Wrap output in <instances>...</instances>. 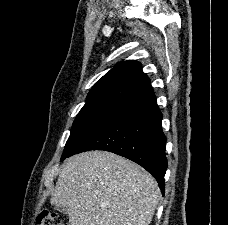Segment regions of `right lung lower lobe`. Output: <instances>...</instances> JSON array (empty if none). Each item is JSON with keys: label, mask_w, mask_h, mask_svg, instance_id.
I'll list each match as a JSON object with an SVG mask.
<instances>
[{"label": "right lung lower lobe", "mask_w": 228, "mask_h": 225, "mask_svg": "<svg viewBox=\"0 0 228 225\" xmlns=\"http://www.w3.org/2000/svg\"><path fill=\"white\" fill-rule=\"evenodd\" d=\"M161 121L162 114L149 86L93 128L66 157L89 150L121 155L150 172L164 195L167 159Z\"/></svg>", "instance_id": "98d812e1"}]
</instances>
